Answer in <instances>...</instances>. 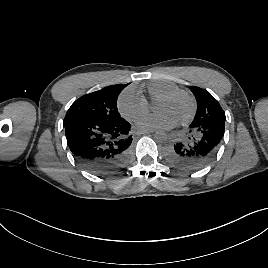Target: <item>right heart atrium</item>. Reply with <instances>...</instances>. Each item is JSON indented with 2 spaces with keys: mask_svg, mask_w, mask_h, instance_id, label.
Instances as JSON below:
<instances>
[{
  "mask_svg": "<svg viewBox=\"0 0 268 268\" xmlns=\"http://www.w3.org/2000/svg\"><path fill=\"white\" fill-rule=\"evenodd\" d=\"M117 107L122 116L128 120L144 119L150 109L146 100L132 89H125L119 95Z\"/></svg>",
  "mask_w": 268,
  "mask_h": 268,
  "instance_id": "d8ad5b80",
  "label": "right heart atrium"
}]
</instances>
